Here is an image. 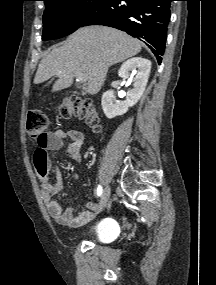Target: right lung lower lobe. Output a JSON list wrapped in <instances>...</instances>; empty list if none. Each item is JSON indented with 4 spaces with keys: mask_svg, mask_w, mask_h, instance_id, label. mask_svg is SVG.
I'll return each instance as SVG.
<instances>
[{
    "mask_svg": "<svg viewBox=\"0 0 216 285\" xmlns=\"http://www.w3.org/2000/svg\"><path fill=\"white\" fill-rule=\"evenodd\" d=\"M173 0H105L80 27L105 25L142 40L161 63Z\"/></svg>",
    "mask_w": 216,
    "mask_h": 285,
    "instance_id": "1",
    "label": "right lung lower lobe"
}]
</instances>
